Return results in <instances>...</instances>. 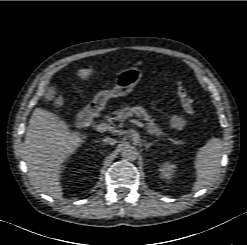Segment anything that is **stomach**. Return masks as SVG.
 <instances>
[{
  "label": "stomach",
  "instance_id": "0dacf381",
  "mask_svg": "<svg viewBox=\"0 0 247 245\" xmlns=\"http://www.w3.org/2000/svg\"><path fill=\"white\" fill-rule=\"evenodd\" d=\"M143 77V71L137 67H130L116 73L115 85L110 90L98 92L89 104L92 110H103L112 98H120L128 95Z\"/></svg>",
  "mask_w": 247,
  "mask_h": 245
}]
</instances>
